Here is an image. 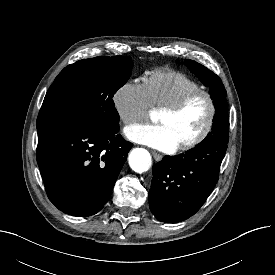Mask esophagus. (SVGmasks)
<instances>
[{"label":"esophagus","instance_id":"1","mask_svg":"<svg viewBox=\"0 0 275 275\" xmlns=\"http://www.w3.org/2000/svg\"><path fill=\"white\" fill-rule=\"evenodd\" d=\"M152 155H153V157H154V159H155L156 161H161V160H162V155L159 154L158 152L153 151V152H152Z\"/></svg>","mask_w":275,"mask_h":275}]
</instances>
